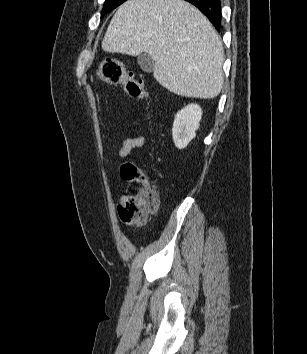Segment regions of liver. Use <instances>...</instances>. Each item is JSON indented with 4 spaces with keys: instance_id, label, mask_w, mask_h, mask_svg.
Returning <instances> with one entry per match:
<instances>
[{
    "instance_id": "obj_1",
    "label": "liver",
    "mask_w": 307,
    "mask_h": 354,
    "mask_svg": "<svg viewBox=\"0 0 307 354\" xmlns=\"http://www.w3.org/2000/svg\"><path fill=\"white\" fill-rule=\"evenodd\" d=\"M102 49L155 61L154 78L170 92L211 99L223 87L222 42L209 20L183 0H128L107 28Z\"/></svg>"
}]
</instances>
